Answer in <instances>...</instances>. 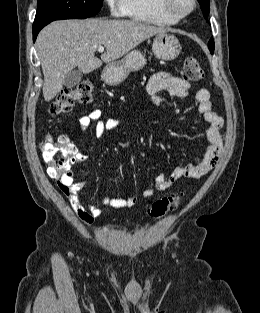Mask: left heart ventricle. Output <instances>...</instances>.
Segmentation results:
<instances>
[{"label":"left heart ventricle","instance_id":"obj_1","mask_svg":"<svg viewBox=\"0 0 260 313\" xmlns=\"http://www.w3.org/2000/svg\"><path fill=\"white\" fill-rule=\"evenodd\" d=\"M173 7L177 11H184L189 7L188 0H172Z\"/></svg>","mask_w":260,"mask_h":313}]
</instances>
